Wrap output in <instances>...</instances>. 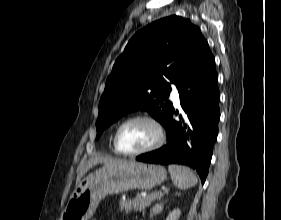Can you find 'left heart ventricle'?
Masks as SVG:
<instances>
[{
	"label": "left heart ventricle",
	"mask_w": 281,
	"mask_h": 220,
	"mask_svg": "<svg viewBox=\"0 0 281 220\" xmlns=\"http://www.w3.org/2000/svg\"><path fill=\"white\" fill-rule=\"evenodd\" d=\"M157 137L155 127L143 120L126 125L119 135V147L126 152H134L151 145Z\"/></svg>",
	"instance_id": "obj_1"
}]
</instances>
